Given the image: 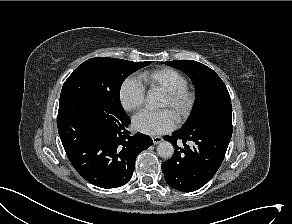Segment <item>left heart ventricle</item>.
<instances>
[{
    "label": "left heart ventricle",
    "mask_w": 292,
    "mask_h": 224,
    "mask_svg": "<svg viewBox=\"0 0 292 224\" xmlns=\"http://www.w3.org/2000/svg\"><path fill=\"white\" fill-rule=\"evenodd\" d=\"M161 107L162 108H166V107H169V101L168 99L164 96L163 100H162V103H161ZM170 108V107H169ZM171 109V108H170ZM171 112L175 115V112L173 109H171Z\"/></svg>",
    "instance_id": "left-heart-ventricle-1"
}]
</instances>
